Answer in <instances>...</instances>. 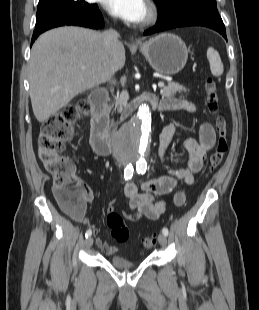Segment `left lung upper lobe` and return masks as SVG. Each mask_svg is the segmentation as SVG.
<instances>
[{"label":"left lung upper lobe","instance_id":"left-lung-upper-lobe-1","mask_svg":"<svg viewBox=\"0 0 259 310\" xmlns=\"http://www.w3.org/2000/svg\"><path fill=\"white\" fill-rule=\"evenodd\" d=\"M159 8V20L162 24L185 15L205 12L218 14L215 0H154Z\"/></svg>","mask_w":259,"mask_h":310}]
</instances>
